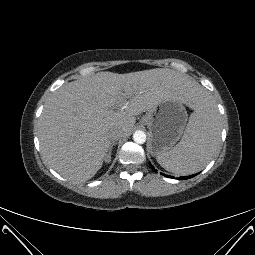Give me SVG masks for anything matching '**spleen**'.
I'll return each mask as SVG.
<instances>
[{"mask_svg": "<svg viewBox=\"0 0 255 255\" xmlns=\"http://www.w3.org/2000/svg\"><path fill=\"white\" fill-rule=\"evenodd\" d=\"M221 134L220 114L212 98L203 95L190 115L180 142L160 153L157 162L167 171L188 175L203 169L212 159Z\"/></svg>", "mask_w": 255, "mask_h": 255, "instance_id": "1", "label": "spleen"}]
</instances>
